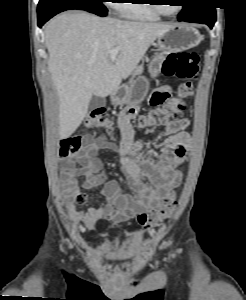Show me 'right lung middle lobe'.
<instances>
[{
    "label": "right lung middle lobe",
    "mask_w": 246,
    "mask_h": 300,
    "mask_svg": "<svg viewBox=\"0 0 246 300\" xmlns=\"http://www.w3.org/2000/svg\"><path fill=\"white\" fill-rule=\"evenodd\" d=\"M104 0H40L37 7V12H43L49 7L59 4L78 5L83 10L94 13L99 16H106L107 9L103 5Z\"/></svg>",
    "instance_id": "obj_1"
}]
</instances>
